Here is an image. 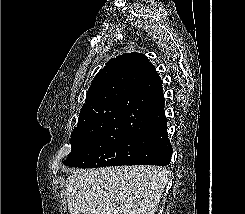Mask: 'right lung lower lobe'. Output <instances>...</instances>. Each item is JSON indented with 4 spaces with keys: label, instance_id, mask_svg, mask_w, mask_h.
<instances>
[{
    "label": "right lung lower lobe",
    "instance_id": "1",
    "mask_svg": "<svg viewBox=\"0 0 245 214\" xmlns=\"http://www.w3.org/2000/svg\"><path fill=\"white\" fill-rule=\"evenodd\" d=\"M140 101V115L117 147L118 165H167L173 149L167 135L162 89Z\"/></svg>",
    "mask_w": 245,
    "mask_h": 214
}]
</instances>
